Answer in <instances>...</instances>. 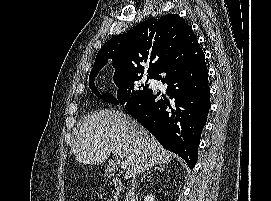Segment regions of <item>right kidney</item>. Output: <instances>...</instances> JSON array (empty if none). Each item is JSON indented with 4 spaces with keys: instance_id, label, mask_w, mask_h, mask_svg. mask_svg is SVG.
Returning a JSON list of instances; mask_svg holds the SVG:
<instances>
[{
    "instance_id": "1",
    "label": "right kidney",
    "mask_w": 271,
    "mask_h": 201,
    "mask_svg": "<svg viewBox=\"0 0 271 201\" xmlns=\"http://www.w3.org/2000/svg\"><path fill=\"white\" fill-rule=\"evenodd\" d=\"M144 201H155V197L152 194H148L145 196Z\"/></svg>"
}]
</instances>
